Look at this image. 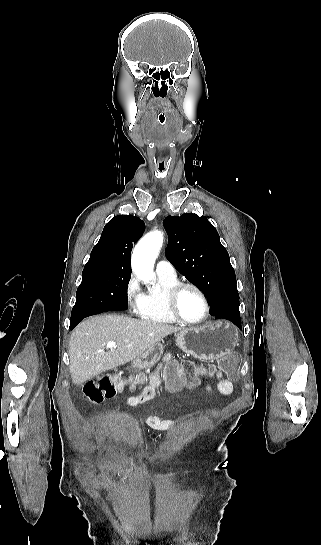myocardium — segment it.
Masks as SVG:
<instances>
[{"label":"myocardium","instance_id":"myocardium-1","mask_svg":"<svg viewBox=\"0 0 321 545\" xmlns=\"http://www.w3.org/2000/svg\"><path fill=\"white\" fill-rule=\"evenodd\" d=\"M185 289L195 290L202 299L204 305V315L203 317L195 322H189L184 320L178 310H177V299L180 293ZM163 300L166 311L170 317L174 320L175 323L185 326V327H199L203 325L210 316V303L205 292L196 284L190 282H178L177 284L163 290Z\"/></svg>","mask_w":321,"mask_h":545}]
</instances>
